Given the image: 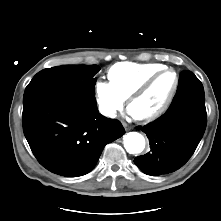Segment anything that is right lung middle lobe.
Here are the masks:
<instances>
[{
    "instance_id": "1",
    "label": "right lung middle lobe",
    "mask_w": 221,
    "mask_h": 221,
    "mask_svg": "<svg viewBox=\"0 0 221 221\" xmlns=\"http://www.w3.org/2000/svg\"><path fill=\"white\" fill-rule=\"evenodd\" d=\"M99 70L97 65H63L44 69L33 77L26 90L50 88L95 99L94 75Z\"/></svg>"
}]
</instances>
